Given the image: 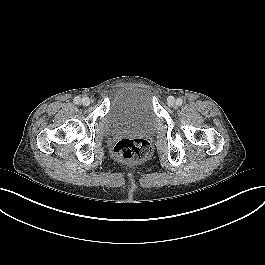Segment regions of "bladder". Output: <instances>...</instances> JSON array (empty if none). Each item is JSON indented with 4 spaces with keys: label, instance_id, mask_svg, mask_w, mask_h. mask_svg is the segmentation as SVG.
Wrapping results in <instances>:
<instances>
[{
    "label": "bladder",
    "instance_id": "31cf9c89",
    "mask_svg": "<svg viewBox=\"0 0 265 265\" xmlns=\"http://www.w3.org/2000/svg\"><path fill=\"white\" fill-rule=\"evenodd\" d=\"M106 128L111 134L148 132L159 122L153 103V92L147 86L125 85L109 102L105 115Z\"/></svg>",
    "mask_w": 265,
    "mask_h": 265
}]
</instances>
